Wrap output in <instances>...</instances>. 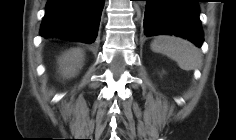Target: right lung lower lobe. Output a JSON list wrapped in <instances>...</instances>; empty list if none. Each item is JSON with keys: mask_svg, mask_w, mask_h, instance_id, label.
I'll use <instances>...</instances> for the list:
<instances>
[{"mask_svg": "<svg viewBox=\"0 0 236 140\" xmlns=\"http://www.w3.org/2000/svg\"><path fill=\"white\" fill-rule=\"evenodd\" d=\"M105 0H48L40 34L43 37L92 43Z\"/></svg>", "mask_w": 236, "mask_h": 140, "instance_id": "obj_1", "label": "right lung lower lobe"}]
</instances>
